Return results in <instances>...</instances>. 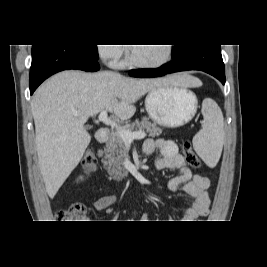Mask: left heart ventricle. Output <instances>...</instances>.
<instances>
[{"label":"left heart ventricle","mask_w":267,"mask_h":267,"mask_svg":"<svg viewBox=\"0 0 267 267\" xmlns=\"http://www.w3.org/2000/svg\"><path fill=\"white\" fill-rule=\"evenodd\" d=\"M131 51L135 60L143 63L160 61L166 55V47L163 44L153 46H135Z\"/></svg>","instance_id":"1"}]
</instances>
